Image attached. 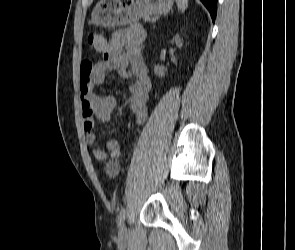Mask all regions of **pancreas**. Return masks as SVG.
<instances>
[{
	"mask_svg": "<svg viewBox=\"0 0 295 250\" xmlns=\"http://www.w3.org/2000/svg\"><path fill=\"white\" fill-rule=\"evenodd\" d=\"M144 21L145 22H147V21H152L153 22V19L146 16V17H144Z\"/></svg>",
	"mask_w": 295,
	"mask_h": 250,
	"instance_id": "cf45deb5",
	"label": "pancreas"
}]
</instances>
